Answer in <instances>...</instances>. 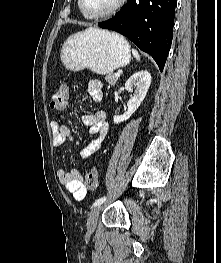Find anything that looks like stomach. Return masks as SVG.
<instances>
[{"label": "stomach", "mask_w": 221, "mask_h": 263, "mask_svg": "<svg viewBox=\"0 0 221 263\" xmlns=\"http://www.w3.org/2000/svg\"><path fill=\"white\" fill-rule=\"evenodd\" d=\"M60 56L68 70L87 68L101 75L113 73L131 59L129 44L122 36L100 29H87L69 37L62 45Z\"/></svg>", "instance_id": "stomach-1"}]
</instances>
